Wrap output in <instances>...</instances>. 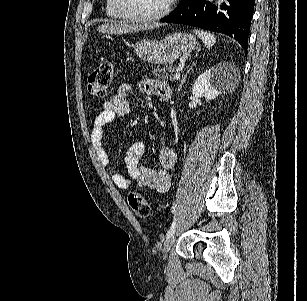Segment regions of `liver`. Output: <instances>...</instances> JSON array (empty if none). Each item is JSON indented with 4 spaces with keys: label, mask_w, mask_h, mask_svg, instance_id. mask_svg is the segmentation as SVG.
Here are the masks:
<instances>
[{
    "label": "liver",
    "mask_w": 307,
    "mask_h": 301,
    "mask_svg": "<svg viewBox=\"0 0 307 301\" xmlns=\"http://www.w3.org/2000/svg\"><path fill=\"white\" fill-rule=\"evenodd\" d=\"M159 24H127L122 20H110L103 22L98 26V32H107V34H129V32H137V30H148V28H157Z\"/></svg>",
    "instance_id": "liver-1"
}]
</instances>
